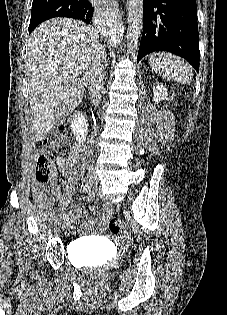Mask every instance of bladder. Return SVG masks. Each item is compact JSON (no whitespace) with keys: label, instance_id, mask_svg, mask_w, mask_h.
Instances as JSON below:
<instances>
[{"label":"bladder","instance_id":"1","mask_svg":"<svg viewBox=\"0 0 227 315\" xmlns=\"http://www.w3.org/2000/svg\"><path fill=\"white\" fill-rule=\"evenodd\" d=\"M74 247L79 250L80 259L76 262L78 267H86L82 260L90 255L104 258L107 253V249L104 246H94L88 239L74 241Z\"/></svg>","mask_w":227,"mask_h":315}]
</instances>
